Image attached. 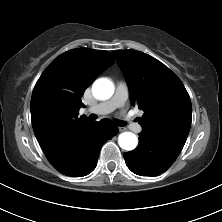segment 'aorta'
Returning a JSON list of instances; mask_svg holds the SVG:
<instances>
[{
  "mask_svg": "<svg viewBox=\"0 0 222 222\" xmlns=\"http://www.w3.org/2000/svg\"><path fill=\"white\" fill-rule=\"evenodd\" d=\"M92 93L96 99L107 100L114 93L113 83L106 78L97 79L93 83ZM118 143L122 149L131 151L136 148L138 139L132 132H123L118 137Z\"/></svg>",
  "mask_w": 222,
  "mask_h": 222,
  "instance_id": "1",
  "label": "aorta"
}]
</instances>
